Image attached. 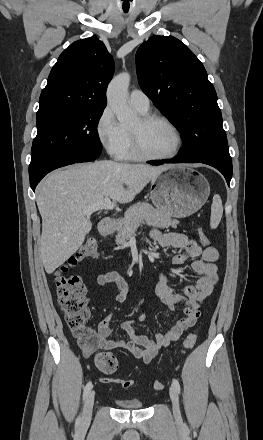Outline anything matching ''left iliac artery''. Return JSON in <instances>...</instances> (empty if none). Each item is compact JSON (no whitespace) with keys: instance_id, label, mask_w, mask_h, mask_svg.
Masks as SVG:
<instances>
[{"instance_id":"obj_1","label":"left iliac artery","mask_w":263,"mask_h":440,"mask_svg":"<svg viewBox=\"0 0 263 440\" xmlns=\"http://www.w3.org/2000/svg\"><path fill=\"white\" fill-rule=\"evenodd\" d=\"M173 386L175 387L176 391L178 393H180V390H181L180 384H179V381L177 379H175V378L173 379Z\"/></svg>"}]
</instances>
